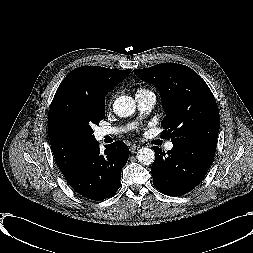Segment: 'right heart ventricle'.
Here are the masks:
<instances>
[{
	"label": "right heart ventricle",
	"mask_w": 253,
	"mask_h": 253,
	"mask_svg": "<svg viewBox=\"0 0 253 253\" xmlns=\"http://www.w3.org/2000/svg\"><path fill=\"white\" fill-rule=\"evenodd\" d=\"M147 92H151V91H149L147 89H138L137 92H136V94L137 93H142L143 94V93H147Z\"/></svg>",
	"instance_id": "e07e8e85"
}]
</instances>
